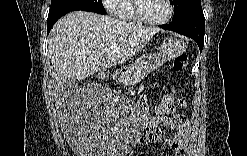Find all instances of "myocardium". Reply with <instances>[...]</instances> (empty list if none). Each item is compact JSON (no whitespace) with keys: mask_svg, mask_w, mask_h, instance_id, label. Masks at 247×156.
<instances>
[{"mask_svg":"<svg viewBox=\"0 0 247 156\" xmlns=\"http://www.w3.org/2000/svg\"><path fill=\"white\" fill-rule=\"evenodd\" d=\"M168 8V13L164 18L161 19H152V18H147L144 17L141 13H140V2L139 0H135L132 1L131 4V13L133 15V17L135 18L136 21L146 24V25H164L166 23H168L172 17H173V13H174V8L172 3L170 2V0H163Z\"/></svg>","mask_w":247,"mask_h":156,"instance_id":"f54148a6","label":"myocardium"}]
</instances>
